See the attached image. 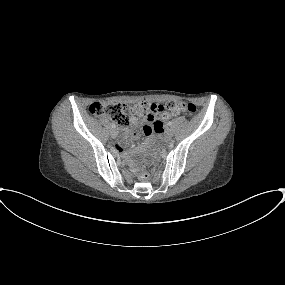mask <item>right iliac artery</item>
<instances>
[{"label": "right iliac artery", "mask_w": 285, "mask_h": 285, "mask_svg": "<svg viewBox=\"0 0 285 285\" xmlns=\"http://www.w3.org/2000/svg\"><path fill=\"white\" fill-rule=\"evenodd\" d=\"M111 127H112L113 129H115V128H116V125L113 123V124L111 125Z\"/></svg>", "instance_id": "obj_1"}]
</instances>
